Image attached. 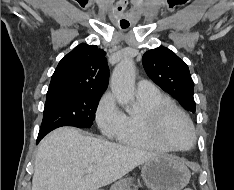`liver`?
<instances>
[{
    "instance_id": "liver-1",
    "label": "liver",
    "mask_w": 234,
    "mask_h": 190,
    "mask_svg": "<svg viewBox=\"0 0 234 190\" xmlns=\"http://www.w3.org/2000/svg\"><path fill=\"white\" fill-rule=\"evenodd\" d=\"M156 153L83 135L73 127L54 130L40 142L32 190H98ZM94 170L85 174V170Z\"/></svg>"
}]
</instances>
